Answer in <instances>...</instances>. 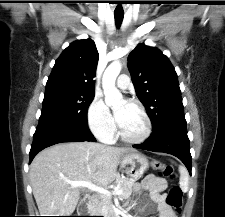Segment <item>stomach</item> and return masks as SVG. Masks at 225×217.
Wrapping results in <instances>:
<instances>
[{"instance_id":"0dacf381","label":"stomach","mask_w":225,"mask_h":217,"mask_svg":"<svg viewBox=\"0 0 225 217\" xmlns=\"http://www.w3.org/2000/svg\"><path fill=\"white\" fill-rule=\"evenodd\" d=\"M122 171L137 180L148 168V159L144 154L132 152L122 156L120 161Z\"/></svg>"}]
</instances>
